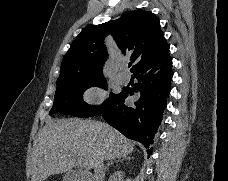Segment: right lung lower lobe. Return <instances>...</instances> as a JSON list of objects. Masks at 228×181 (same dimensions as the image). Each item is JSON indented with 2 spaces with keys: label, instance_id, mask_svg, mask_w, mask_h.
Listing matches in <instances>:
<instances>
[{
  "label": "right lung lower lobe",
  "instance_id": "obj_1",
  "mask_svg": "<svg viewBox=\"0 0 228 181\" xmlns=\"http://www.w3.org/2000/svg\"><path fill=\"white\" fill-rule=\"evenodd\" d=\"M133 72L138 82L134 86L124 87L119 97L101 114L123 135L148 148L153 143L170 92L173 73L169 46L140 64ZM129 96H134L135 101L125 104L124 100ZM148 153H152V148Z\"/></svg>",
  "mask_w": 228,
  "mask_h": 181
}]
</instances>
